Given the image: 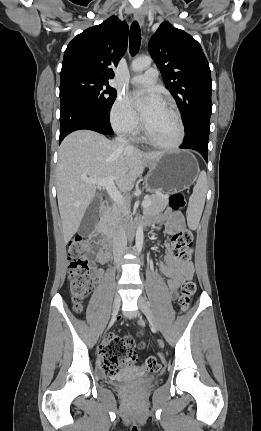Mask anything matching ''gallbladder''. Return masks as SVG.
Instances as JSON below:
<instances>
[{
	"label": "gallbladder",
	"mask_w": 261,
	"mask_h": 431,
	"mask_svg": "<svg viewBox=\"0 0 261 431\" xmlns=\"http://www.w3.org/2000/svg\"><path fill=\"white\" fill-rule=\"evenodd\" d=\"M100 200L95 198L89 205L80 223L78 232L82 236L90 235L99 219Z\"/></svg>",
	"instance_id": "bac80fb5"
}]
</instances>
